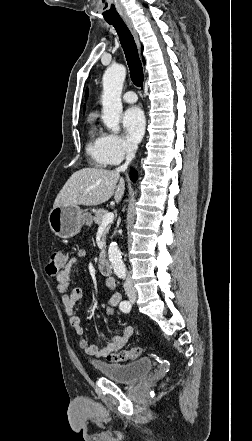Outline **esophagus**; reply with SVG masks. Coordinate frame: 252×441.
I'll use <instances>...</instances> for the list:
<instances>
[{"instance_id":"1","label":"esophagus","mask_w":252,"mask_h":441,"mask_svg":"<svg viewBox=\"0 0 252 441\" xmlns=\"http://www.w3.org/2000/svg\"><path fill=\"white\" fill-rule=\"evenodd\" d=\"M124 22L126 23L127 27L129 28V30L131 31L132 35L134 36L137 44L139 45V40H138V35L137 32L133 26L132 20L129 17H125L124 18Z\"/></svg>"}]
</instances>
